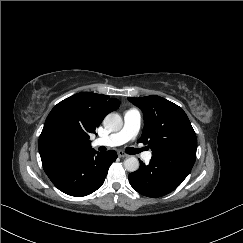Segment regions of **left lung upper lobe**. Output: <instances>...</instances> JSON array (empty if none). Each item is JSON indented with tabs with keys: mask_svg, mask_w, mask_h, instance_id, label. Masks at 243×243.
Masks as SVG:
<instances>
[{
	"mask_svg": "<svg viewBox=\"0 0 243 243\" xmlns=\"http://www.w3.org/2000/svg\"><path fill=\"white\" fill-rule=\"evenodd\" d=\"M144 114V129L139 142L153 155L179 149H196L197 138L181 107L156 95L131 98Z\"/></svg>",
	"mask_w": 243,
	"mask_h": 243,
	"instance_id": "1",
	"label": "left lung upper lobe"
}]
</instances>
